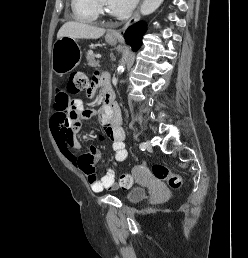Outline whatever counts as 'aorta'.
I'll list each match as a JSON object with an SVG mask.
<instances>
[{
	"instance_id": "obj_1",
	"label": "aorta",
	"mask_w": 248,
	"mask_h": 258,
	"mask_svg": "<svg viewBox=\"0 0 248 258\" xmlns=\"http://www.w3.org/2000/svg\"><path fill=\"white\" fill-rule=\"evenodd\" d=\"M164 0H144L143 4L141 5V14L142 15H149L151 13H153L162 3ZM129 51L126 50L125 54L123 55L122 59H121V63L118 67V69L123 70L124 69V65L127 61V57H128Z\"/></svg>"
}]
</instances>
